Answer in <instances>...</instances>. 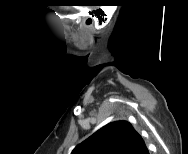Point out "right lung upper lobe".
<instances>
[{"mask_svg":"<svg viewBox=\"0 0 188 154\" xmlns=\"http://www.w3.org/2000/svg\"><path fill=\"white\" fill-rule=\"evenodd\" d=\"M71 154H149L142 137L127 121H116L99 129Z\"/></svg>","mask_w":188,"mask_h":154,"instance_id":"obj_1","label":"right lung upper lobe"}]
</instances>
